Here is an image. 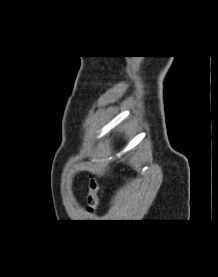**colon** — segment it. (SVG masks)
Here are the masks:
<instances>
[{
	"label": "colon",
	"instance_id": "colon-1",
	"mask_svg": "<svg viewBox=\"0 0 218 277\" xmlns=\"http://www.w3.org/2000/svg\"><path fill=\"white\" fill-rule=\"evenodd\" d=\"M100 193L101 186L99 182L94 177H91L88 183L86 195L88 213L94 214L96 212L100 201Z\"/></svg>",
	"mask_w": 218,
	"mask_h": 277
}]
</instances>
